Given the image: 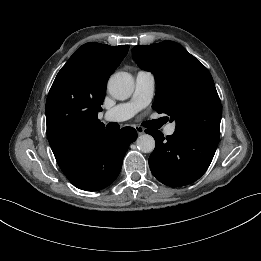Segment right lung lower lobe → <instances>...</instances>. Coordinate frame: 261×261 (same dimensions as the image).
<instances>
[{
    "instance_id": "right-lung-lower-lobe-1",
    "label": "right lung lower lobe",
    "mask_w": 261,
    "mask_h": 261,
    "mask_svg": "<svg viewBox=\"0 0 261 261\" xmlns=\"http://www.w3.org/2000/svg\"><path fill=\"white\" fill-rule=\"evenodd\" d=\"M136 138L137 132L132 127L116 132L106 130L86 157L65 176L74 186L86 191L109 186L119 175L129 144Z\"/></svg>"
}]
</instances>
